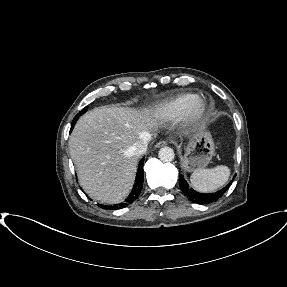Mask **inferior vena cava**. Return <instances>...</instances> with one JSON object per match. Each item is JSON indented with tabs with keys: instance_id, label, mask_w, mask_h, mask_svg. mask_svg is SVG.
<instances>
[{
	"instance_id": "obj_1",
	"label": "inferior vena cava",
	"mask_w": 287,
	"mask_h": 287,
	"mask_svg": "<svg viewBox=\"0 0 287 287\" xmlns=\"http://www.w3.org/2000/svg\"><path fill=\"white\" fill-rule=\"evenodd\" d=\"M151 139V135H145L143 139L137 141L131 148V152L136 156H141L147 151L148 142Z\"/></svg>"
}]
</instances>
